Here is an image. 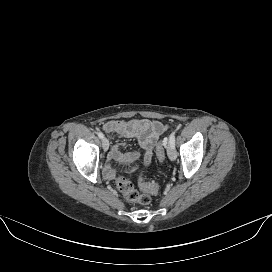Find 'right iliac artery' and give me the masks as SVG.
Wrapping results in <instances>:
<instances>
[{
    "instance_id": "right-iliac-artery-1",
    "label": "right iliac artery",
    "mask_w": 272,
    "mask_h": 272,
    "mask_svg": "<svg viewBox=\"0 0 272 272\" xmlns=\"http://www.w3.org/2000/svg\"><path fill=\"white\" fill-rule=\"evenodd\" d=\"M98 137H99L100 139H103V138H104V134H103L102 132H99V133H98Z\"/></svg>"
}]
</instances>
